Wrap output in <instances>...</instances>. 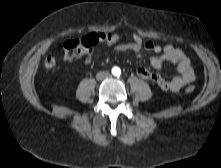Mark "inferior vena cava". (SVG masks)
Here are the masks:
<instances>
[{
    "label": "inferior vena cava",
    "mask_w": 221,
    "mask_h": 168,
    "mask_svg": "<svg viewBox=\"0 0 221 168\" xmlns=\"http://www.w3.org/2000/svg\"><path fill=\"white\" fill-rule=\"evenodd\" d=\"M109 76V72L108 71H101V72H98L97 75H96V78L97 80H102L106 77Z\"/></svg>",
    "instance_id": "1"
}]
</instances>
